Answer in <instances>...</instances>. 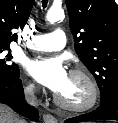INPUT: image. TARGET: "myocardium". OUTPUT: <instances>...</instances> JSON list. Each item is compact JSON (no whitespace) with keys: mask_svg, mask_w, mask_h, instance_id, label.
I'll return each mask as SVG.
<instances>
[{"mask_svg":"<svg viewBox=\"0 0 118 123\" xmlns=\"http://www.w3.org/2000/svg\"><path fill=\"white\" fill-rule=\"evenodd\" d=\"M70 75L82 78L88 86V98L79 104H72L64 101L58 94L54 95L55 103L62 109L69 112H85L92 109L99 100V88L93 76L84 69L76 68L70 71Z\"/></svg>","mask_w":118,"mask_h":123,"instance_id":"1","label":"myocardium"}]
</instances>
